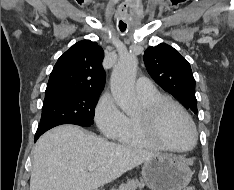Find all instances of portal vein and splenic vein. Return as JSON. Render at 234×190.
Returning a JSON list of instances; mask_svg holds the SVG:
<instances>
[{
  "mask_svg": "<svg viewBox=\"0 0 234 190\" xmlns=\"http://www.w3.org/2000/svg\"><path fill=\"white\" fill-rule=\"evenodd\" d=\"M97 165L96 164H91L88 166V171H94L96 169Z\"/></svg>",
  "mask_w": 234,
  "mask_h": 190,
  "instance_id": "portal-vein-and-splenic-vein-1",
  "label": "portal vein and splenic vein"
}]
</instances>
